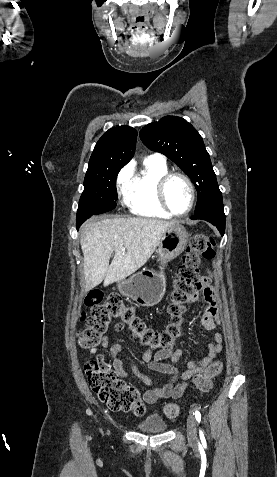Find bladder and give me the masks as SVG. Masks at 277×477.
Returning <instances> with one entry per match:
<instances>
[{"mask_svg": "<svg viewBox=\"0 0 277 477\" xmlns=\"http://www.w3.org/2000/svg\"><path fill=\"white\" fill-rule=\"evenodd\" d=\"M137 428L146 433H163L168 425L159 415H151L138 423Z\"/></svg>", "mask_w": 277, "mask_h": 477, "instance_id": "obj_1", "label": "bladder"}]
</instances>
